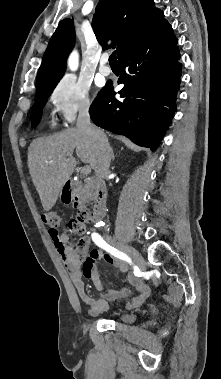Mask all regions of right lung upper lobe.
<instances>
[{"label": "right lung upper lobe", "instance_id": "cb5924a9", "mask_svg": "<svg viewBox=\"0 0 221 379\" xmlns=\"http://www.w3.org/2000/svg\"><path fill=\"white\" fill-rule=\"evenodd\" d=\"M166 20L161 10L154 7L153 0H100L92 26L99 43L117 48L118 58L139 43ZM75 43V30L71 19L62 20L44 53L39 68L37 90L61 79L67 56Z\"/></svg>", "mask_w": 221, "mask_h": 379}]
</instances>
